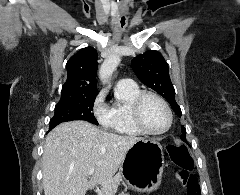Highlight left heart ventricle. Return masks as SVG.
I'll return each mask as SVG.
<instances>
[{
	"label": "left heart ventricle",
	"instance_id": "obj_1",
	"mask_svg": "<svg viewBox=\"0 0 240 195\" xmlns=\"http://www.w3.org/2000/svg\"><path fill=\"white\" fill-rule=\"evenodd\" d=\"M145 125L152 130H160L166 124V115L161 104L152 97H147L142 106Z\"/></svg>",
	"mask_w": 240,
	"mask_h": 195
}]
</instances>
